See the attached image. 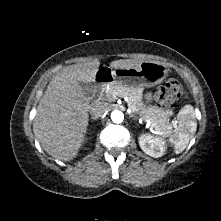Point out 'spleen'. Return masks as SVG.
I'll return each mask as SVG.
<instances>
[{
	"label": "spleen",
	"instance_id": "obj_1",
	"mask_svg": "<svg viewBox=\"0 0 221 221\" xmlns=\"http://www.w3.org/2000/svg\"><path fill=\"white\" fill-rule=\"evenodd\" d=\"M179 124L171 135L169 141L174 146L176 153L182 152L197 130L194 109L191 105H185L178 113ZM168 135V134H167Z\"/></svg>",
	"mask_w": 221,
	"mask_h": 221
}]
</instances>
